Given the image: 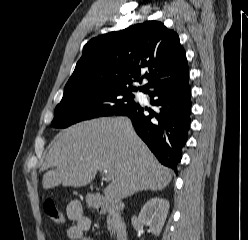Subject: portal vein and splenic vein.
Instances as JSON below:
<instances>
[{
    "label": "portal vein and splenic vein",
    "mask_w": 248,
    "mask_h": 240,
    "mask_svg": "<svg viewBox=\"0 0 248 240\" xmlns=\"http://www.w3.org/2000/svg\"><path fill=\"white\" fill-rule=\"evenodd\" d=\"M103 172L105 173L106 177L109 179V177L111 176L109 171L105 169V170H103Z\"/></svg>",
    "instance_id": "18ae733b"
}]
</instances>
